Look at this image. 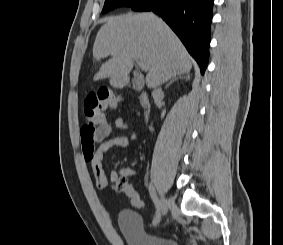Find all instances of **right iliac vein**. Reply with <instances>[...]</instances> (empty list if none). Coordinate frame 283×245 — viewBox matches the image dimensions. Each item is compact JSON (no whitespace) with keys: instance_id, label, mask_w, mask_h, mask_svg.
<instances>
[{"instance_id":"63e3f726","label":"right iliac vein","mask_w":283,"mask_h":245,"mask_svg":"<svg viewBox=\"0 0 283 245\" xmlns=\"http://www.w3.org/2000/svg\"><path fill=\"white\" fill-rule=\"evenodd\" d=\"M160 203L159 215L155 219L154 224H158L160 222L161 218L167 213V210L170 206L169 200L164 195H162Z\"/></svg>"}]
</instances>
